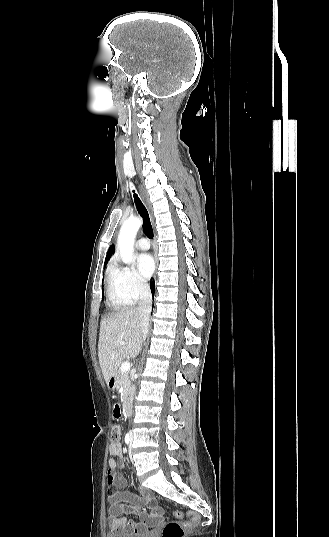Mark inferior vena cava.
I'll list each match as a JSON object with an SVG mask.
<instances>
[{
    "label": "inferior vena cava",
    "mask_w": 329,
    "mask_h": 537,
    "mask_svg": "<svg viewBox=\"0 0 329 537\" xmlns=\"http://www.w3.org/2000/svg\"><path fill=\"white\" fill-rule=\"evenodd\" d=\"M151 307H152V295H151L150 287L148 284H143L140 287V301H139V305L137 308V312L139 313L141 317V325H142V332H143L144 338L148 331Z\"/></svg>",
    "instance_id": "602c4592"
}]
</instances>
